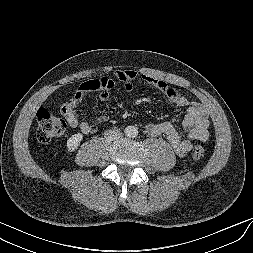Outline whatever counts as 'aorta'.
<instances>
[{"mask_svg":"<svg viewBox=\"0 0 253 253\" xmlns=\"http://www.w3.org/2000/svg\"><path fill=\"white\" fill-rule=\"evenodd\" d=\"M125 134L127 137H135L138 134V129L134 126H127L125 128Z\"/></svg>","mask_w":253,"mask_h":253,"instance_id":"762f6f07","label":"aorta"}]
</instances>
